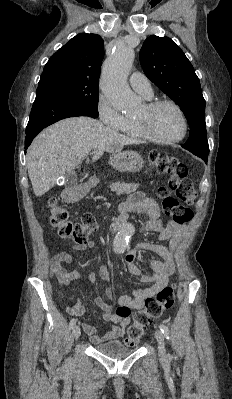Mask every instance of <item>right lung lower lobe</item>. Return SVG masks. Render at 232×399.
Masks as SVG:
<instances>
[{
  "mask_svg": "<svg viewBox=\"0 0 232 399\" xmlns=\"http://www.w3.org/2000/svg\"><path fill=\"white\" fill-rule=\"evenodd\" d=\"M76 116L97 118L98 113L54 95L36 93V99L26 127L25 149L28 148L36 135L45 127L61 119Z\"/></svg>",
  "mask_w": 232,
  "mask_h": 399,
  "instance_id": "obj_1",
  "label": "right lung lower lobe"
}]
</instances>
